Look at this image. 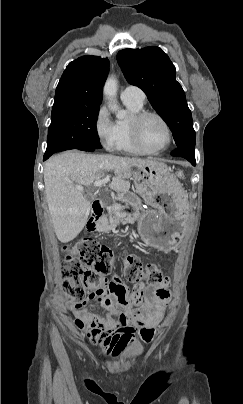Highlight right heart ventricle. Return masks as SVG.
<instances>
[{
    "label": "right heart ventricle",
    "mask_w": 243,
    "mask_h": 404,
    "mask_svg": "<svg viewBox=\"0 0 243 404\" xmlns=\"http://www.w3.org/2000/svg\"><path fill=\"white\" fill-rule=\"evenodd\" d=\"M121 99L128 110L130 117L127 121H118L116 123L119 139V152L129 156H145L148 153L136 146L128 129L130 118L144 109V101H141L136 97H121Z\"/></svg>",
    "instance_id": "1"
}]
</instances>
